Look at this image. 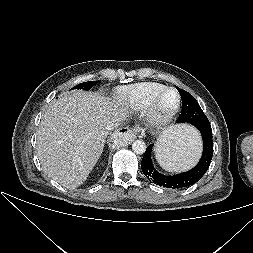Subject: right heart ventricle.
<instances>
[{
  "label": "right heart ventricle",
  "instance_id": "right-heart-ventricle-1",
  "mask_svg": "<svg viewBox=\"0 0 253 253\" xmlns=\"http://www.w3.org/2000/svg\"><path fill=\"white\" fill-rule=\"evenodd\" d=\"M166 86L157 82H141L121 87L117 90V98L128 108L140 111L148 107L152 98Z\"/></svg>",
  "mask_w": 253,
  "mask_h": 253
}]
</instances>
